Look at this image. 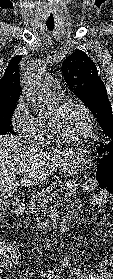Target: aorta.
I'll use <instances>...</instances> for the list:
<instances>
[{
    "mask_svg": "<svg viewBox=\"0 0 113 279\" xmlns=\"http://www.w3.org/2000/svg\"><path fill=\"white\" fill-rule=\"evenodd\" d=\"M31 100H33L34 102V108L37 111H43L45 109V104L43 102L42 99H36L35 97H33L31 94L29 95Z\"/></svg>",
    "mask_w": 113,
    "mask_h": 279,
    "instance_id": "obj_1",
    "label": "aorta"
}]
</instances>
